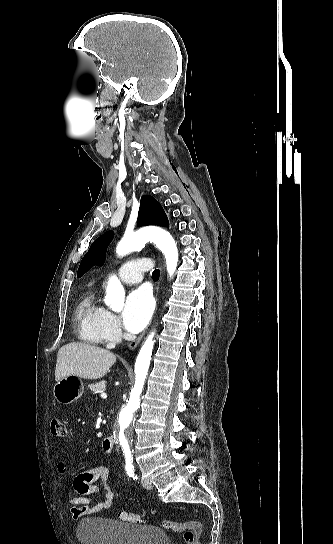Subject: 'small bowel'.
<instances>
[{"mask_svg":"<svg viewBox=\"0 0 333 544\" xmlns=\"http://www.w3.org/2000/svg\"><path fill=\"white\" fill-rule=\"evenodd\" d=\"M67 470L66 464L60 461L57 464V471L64 474ZM110 466L102 464L78 474L73 481V487L78 496L67 499L71 506L72 517L77 519L83 515L96 514L111 507L117 497L114 487L109 482ZM100 480L102 488L95 485ZM103 491L104 498L95 500L92 496Z\"/></svg>","mask_w":333,"mask_h":544,"instance_id":"c3829d8e","label":"small bowel"}]
</instances>
